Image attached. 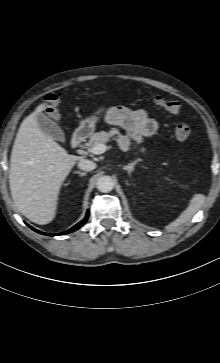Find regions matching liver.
I'll return each instance as SVG.
<instances>
[{
	"instance_id": "1",
	"label": "liver",
	"mask_w": 220,
	"mask_h": 363,
	"mask_svg": "<svg viewBox=\"0 0 220 363\" xmlns=\"http://www.w3.org/2000/svg\"><path fill=\"white\" fill-rule=\"evenodd\" d=\"M40 104L20 125L10 157L9 184L18 211L30 221L44 225L56 214L60 188L82 157L69 155L44 133L36 116Z\"/></svg>"
}]
</instances>
